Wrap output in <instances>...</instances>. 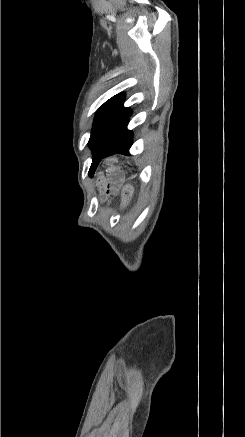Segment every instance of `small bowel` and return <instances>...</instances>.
Here are the masks:
<instances>
[{
    "mask_svg": "<svg viewBox=\"0 0 245 437\" xmlns=\"http://www.w3.org/2000/svg\"><path fill=\"white\" fill-rule=\"evenodd\" d=\"M102 167L105 169L107 166L104 164ZM103 168L100 171L94 172L93 177L95 180H103L104 179V177H105L104 171L105 170Z\"/></svg>",
    "mask_w": 245,
    "mask_h": 437,
    "instance_id": "small-bowel-1",
    "label": "small bowel"
}]
</instances>
